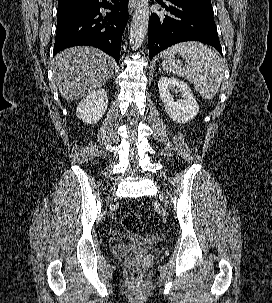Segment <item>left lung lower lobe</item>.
<instances>
[{
  "mask_svg": "<svg viewBox=\"0 0 272 303\" xmlns=\"http://www.w3.org/2000/svg\"><path fill=\"white\" fill-rule=\"evenodd\" d=\"M161 4L167 15L151 14L148 27L149 57L183 41H200L213 46L222 54L217 28L213 18V8L208 3L190 1H170Z\"/></svg>",
  "mask_w": 272,
  "mask_h": 303,
  "instance_id": "0a47b994",
  "label": "left lung lower lobe"
}]
</instances>
